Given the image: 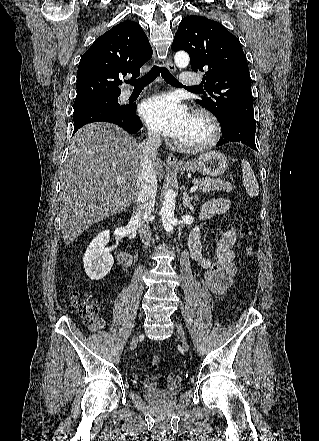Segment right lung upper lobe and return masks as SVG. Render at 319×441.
I'll return each instance as SVG.
<instances>
[{
    "label": "right lung upper lobe",
    "instance_id": "obj_1",
    "mask_svg": "<svg viewBox=\"0 0 319 441\" xmlns=\"http://www.w3.org/2000/svg\"><path fill=\"white\" fill-rule=\"evenodd\" d=\"M152 48L138 23L124 21L100 36L80 59L75 101L118 96L121 77L140 76Z\"/></svg>",
    "mask_w": 319,
    "mask_h": 441
}]
</instances>
